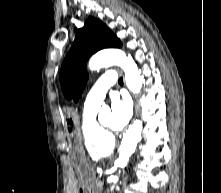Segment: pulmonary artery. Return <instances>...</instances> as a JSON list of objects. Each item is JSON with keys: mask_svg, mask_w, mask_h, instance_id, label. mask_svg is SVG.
I'll return each instance as SVG.
<instances>
[{"mask_svg": "<svg viewBox=\"0 0 221 193\" xmlns=\"http://www.w3.org/2000/svg\"><path fill=\"white\" fill-rule=\"evenodd\" d=\"M117 75L115 71L108 70L101 75L96 84L88 93L85 102L84 110L91 111L97 110L103 101L108 89L116 83Z\"/></svg>", "mask_w": 221, "mask_h": 193, "instance_id": "obj_1", "label": "pulmonary artery"}]
</instances>
